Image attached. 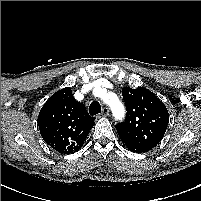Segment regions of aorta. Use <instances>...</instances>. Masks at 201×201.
Masks as SVG:
<instances>
[{
	"mask_svg": "<svg viewBox=\"0 0 201 201\" xmlns=\"http://www.w3.org/2000/svg\"><path fill=\"white\" fill-rule=\"evenodd\" d=\"M103 100L108 104L112 110V113L117 120H122L125 116V108L118 97L113 93L104 95Z\"/></svg>",
	"mask_w": 201,
	"mask_h": 201,
	"instance_id": "762f6f07",
	"label": "aorta"
}]
</instances>
